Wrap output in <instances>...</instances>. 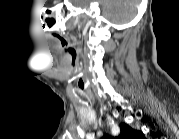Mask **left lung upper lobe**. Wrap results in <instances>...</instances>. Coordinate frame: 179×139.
Returning a JSON list of instances; mask_svg holds the SVG:
<instances>
[{"label": "left lung upper lobe", "instance_id": "left-lung-upper-lobe-1", "mask_svg": "<svg viewBox=\"0 0 179 139\" xmlns=\"http://www.w3.org/2000/svg\"><path fill=\"white\" fill-rule=\"evenodd\" d=\"M144 136L139 131H134L127 124H121V133L118 138L121 139H142Z\"/></svg>", "mask_w": 179, "mask_h": 139}]
</instances>
